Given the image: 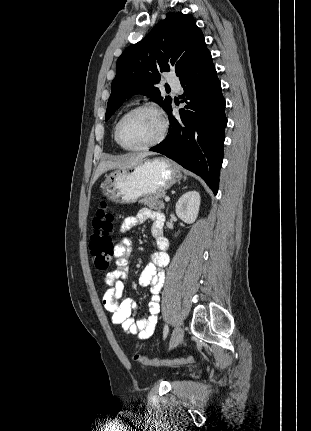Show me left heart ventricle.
<instances>
[{"label":"left heart ventricle","mask_w":311,"mask_h":431,"mask_svg":"<svg viewBox=\"0 0 311 431\" xmlns=\"http://www.w3.org/2000/svg\"><path fill=\"white\" fill-rule=\"evenodd\" d=\"M162 130L160 117L153 111L143 110L128 117L121 126L122 138L126 145H145L159 136Z\"/></svg>","instance_id":"obj_1"}]
</instances>
